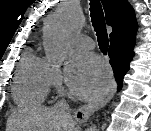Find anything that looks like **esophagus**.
<instances>
[{
    "mask_svg": "<svg viewBox=\"0 0 151 131\" xmlns=\"http://www.w3.org/2000/svg\"><path fill=\"white\" fill-rule=\"evenodd\" d=\"M116 87L117 84L113 79L102 95L76 110L74 114L75 119L80 123L85 122L91 114H93L99 108L105 106L112 99L116 91Z\"/></svg>",
    "mask_w": 151,
    "mask_h": 131,
    "instance_id": "1",
    "label": "esophagus"
}]
</instances>
